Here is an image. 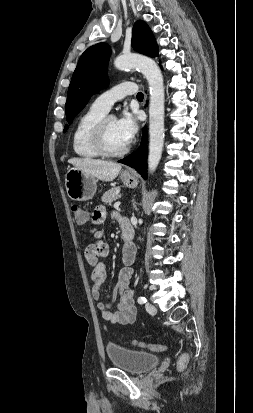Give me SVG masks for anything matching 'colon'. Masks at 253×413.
<instances>
[{
  "instance_id": "obj_1",
  "label": "colon",
  "mask_w": 253,
  "mask_h": 413,
  "mask_svg": "<svg viewBox=\"0 0 253 413\" xmlns=\"http://www.w3.org/2000/svg\"><path fill=\"white\" fill-rule=\"evenodd\" d=\"M70 212H71L73 219L78 225L86 224L87 219H88L87 214L81 207H79L78 205H72L70 208ZM131 344L134 346L141 347V348H147L149 350L156 351V352L166 351V346L162 344H148V343H144V342L137 341V340H132ZM188 362H189V355L187 353L182 354L178 360V368L184 369L187 366Z\"/></svg>"
}]
</instances>
